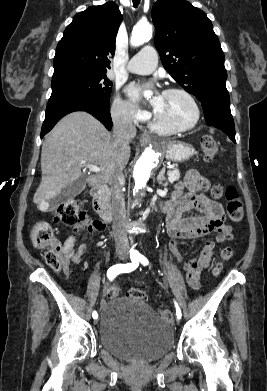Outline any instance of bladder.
Wrapping results in <instances>:
<instances>
[{"mask_svg": "<svg viewBox=\"0 0 267 391\" xmlns=\"http://www.w3.org/2000/svg\"><path fill=\"white\" fill-rule=\"evenodd\" d=\"M98 321L101 345L115 357L136 363L152 362L173 347L171 327L143 300L114 298L102 308Z\"/></svg>", "mask_w": 267, "mask_h": 391, "instance_id": "obj_1", "label": "bladder"}]
</instances>
